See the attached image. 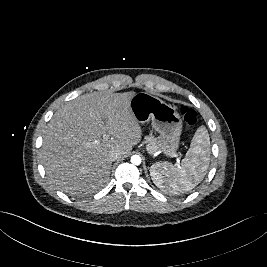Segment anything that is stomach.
I'll use <instances>...</instances> for the list:
<instances>
[{
	"instance_id": "stomach-1",
	"label": "stomach",
	"mask_w": 267,
	"mask_h": 267,
	"mask_svg": "<svg viewBox=\"0 0 267 267\" xmlns=\"http://www.w3.org/2000/svg\"><path fill=\"white\" fill-rule=\"evenodd\" d=\"M129 107L138 123L151 121L152 127L160 134L158 149L166 156L173 155L179 147L182 131V119L177 111L145 92L136 93L130 99Z\"/></svg>"
}]
</instances>
